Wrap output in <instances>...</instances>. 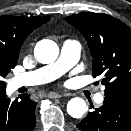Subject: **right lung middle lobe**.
I'll use <instances>...</instances> for the list:
<instances>
[{
	"label": "right lung middle lobe",
	"instance_id": "obj_1",
	"mask_svg": "<svg viewBox=\"0 0 131 131\" xmlns=\"http://www.w3.org/2000/svg\"><path fill=\"white\" fill-rule=\"evenodd\" d=\"M18 57L0 56V90L6 89L3 81L6 75L15 67Z\"/></svg>",
	"mask_w": 131,
	"mask_h": 131
}]
</instances>
